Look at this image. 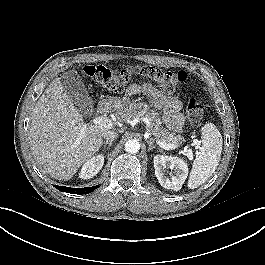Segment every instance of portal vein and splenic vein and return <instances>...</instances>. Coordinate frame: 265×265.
<instances>
[{
	"label": "portal vein and splenic vein",
	"mask_w": 265,
	"mask_h": 265,
	"mask_svg": "<svg viewBox=\"0 0 265 265\" xmlns=\"http://www.w3.org/2000/svg\"><path fill=\"white\" fill-rule=\"evenodd\" d=\"M92 123L95 125H101L103 127H109V128H111L113 126L111 120H109L107 117H103V116L95 117L92 120ZM83 133H84V128L81 130V134H83ZM157 143L161 148H163L165 150H173V149H176L178 147V145H176V144H169V143H164L161 141H158ZM194 144L199 145V142L196 140V141H194ZM187 155L190 157L192 156V151L190 149L187 151Z\"/></svg>",
	"instance_id": "18ae733b"
}]
</instances>
